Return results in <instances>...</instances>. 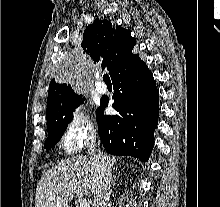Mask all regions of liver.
Listing matches in <instances>:
<instances>
[{"mask_svg": "<svg viewBox=\"0 0 220 207\" xmlns=\"http://www.w3.org/2000/svg\"><path fill=\"white\" fill-rule=\"evenodd\" d=\"M104 157L111 170L115 159L108 155ZM97 176V170L87 156L64 160L41 176L36 189L35 207H68L74 196L94 193Z\"/></svg>", "mask_w": 220, "mask_h": 207, "instance_id": "obj_1", "label": "liver"}]
</instances>
